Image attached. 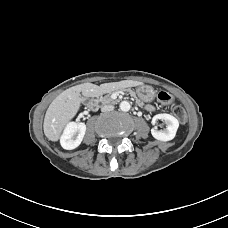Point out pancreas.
Here are the masks:
<instances>
[{"label":"pancreas","instance_id":"cf45deb5","mask_svg":"<svg viewBox=\"0 0 228 228\" xmlns=\"http://www.w3.org/2000/svg\"><path fill=\"white\" fill-rule=\"evenodd\" d=\"M121 90H124V91L128 92L131 96H133V97L136 98V95H135L134 91L131 90L130 88H128V89H121ZM121 90H118V91H121ZM109 92H112V90L109 91ZM110 96H112V93H109L108 95H105L103 97H100L99 101L101 103H103V104H114V103H116V101L113 100ZM136 103L141 108H144V106H145V103L142 102L141 100L137 99V98H136Z\"/></svg>","mask_w":228,"mask_h":228}]
</instances>
